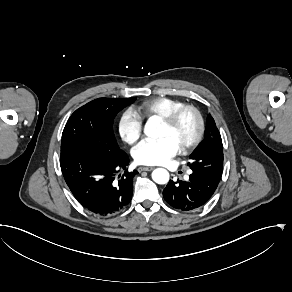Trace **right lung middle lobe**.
<instances>
[{
    "instance_id": "dd1d6c3e",
    "label": "right lung middle lobe",
    "mask_w": 292,
    "mask_h": 292,
    "mask_svg": "<svg viewBox=\"0 0 292 292\" xmlns=\"http://www.w3.org/2000/svg\"><path fill=\"white\" fill-rule=\"evenodd\" d=\"M136 98H99L77 109L68 119L61 140V153L87 151L106 157L124 153L113 133L117 113Z\"/></svg>"
}]
</instances>
